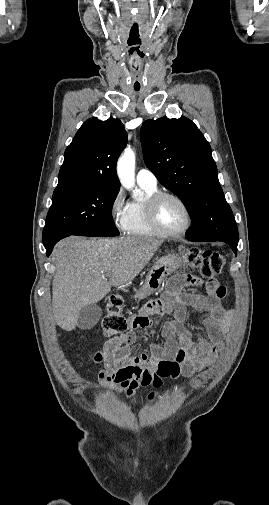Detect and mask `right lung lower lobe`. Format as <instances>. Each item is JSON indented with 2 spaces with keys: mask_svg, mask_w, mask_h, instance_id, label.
I'll return each mask as SVG.
<instances>
[{
  "mask_svg": "<svg viewBox=\"0 0 269 505\" xmlns=\"http://www.w3.org/2000/svg\"><path fill=\"white\" fill-rule=\"evenodd\" d=\"M67 236H70V235H62V236H58V237H55L47 242L44 243V246L46 248V253H47V256L50 255V253L52 252L53 250V247L54 245L59 241L61 240L62 238L64 237H67Z\"/></svg>",
  "mask_w": 269,
  "mask_h": 505,
  "instance_id": "1",
  "label": "right lung lower lobe"
}]
</instances>
